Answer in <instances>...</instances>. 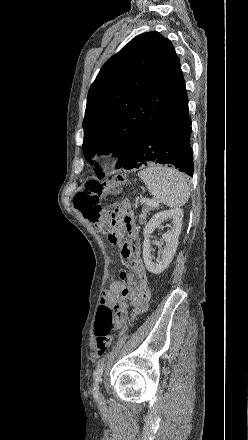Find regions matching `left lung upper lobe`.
<instances>
[{"label":"left lung upper lobe","mask_w":248,"mask_h":440,"mask_svg":"<svg viewBox=\"0 0 248 440\" xmlns=\"http://www.w3.org/2000/svg\"><path fill=\"white\" fill-rule=\"evenodd\" d=\"M186 93L179 58L169 39L156 31L133 38L102 66L91 85L83 120V152L120 156ZM97 166V165H96ZM99 178L104 174L97 166Z\"/></svg>","instance_id":"left-lung-upper-lobe-1"}]
</instances>
